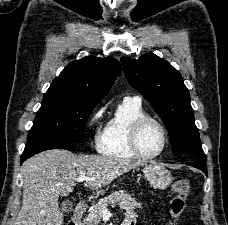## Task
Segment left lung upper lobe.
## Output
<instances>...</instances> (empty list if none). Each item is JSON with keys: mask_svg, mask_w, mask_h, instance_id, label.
Returning a JSON list of instances; mask_svg holds the SVG:
<instances>
[{"mask_svg": "<svg viewBox=\"0 0 228 225\" xmlns=\"http://www.w3.org/2000/svg\"><path fill=\"white\" fill-rule=\"evenodd\" d=\"M129 83L142 93L162 118L171 138L174 155L204 161L190 95L181 74L166 60L147 53L139 59L121 58Z\"/></svg>", "mask_w": 228, "mask_h": 225, "instance_id": "left-lung-upper-lobe-1", "label": "left lung upper lobe"}]
</instances>
